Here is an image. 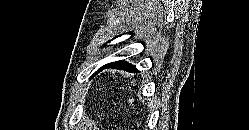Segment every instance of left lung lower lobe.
<instances>
[{
  "label": "left lung lower lobe",
  "instance_id": "left-lung-lower-lobe-1",
  "mask_svg": "<svg viewBox=\"0 0 249 130\" xmlns=\"http://www.w3.org/2000/svg\"><path fill=\"white\" fill-rule=\"evenodd\" d=\"M110 67L111 68L115 67V68H118V69H123V70H126L128 72L137 71V69H136V67L134 65H131V64L125 62V61L120 60V61H117V62H111V63H108V64L104 65L103 67L98 69L97 72H95L94 75H96L98 72L102 71L103 69L110 68Z\"/></svg>",
  "mask_w": 249,
  "mask_h": 130
}]
</instances>
